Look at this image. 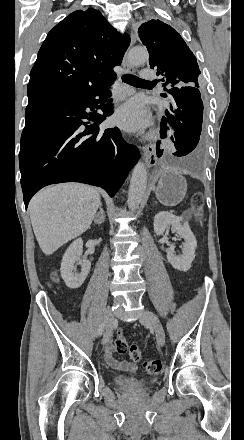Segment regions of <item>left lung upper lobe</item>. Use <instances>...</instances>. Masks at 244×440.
<instances>
[{
    "mask_svg": "<svg viewBox=\"0 0 244 440\" xmlns=\"http://www.w3.org/2000/svg\"><path fill=\"white\" fill-rule=\"evenodd\" d=\"M139 37L149 52V64L156 67L164 85L188 84L199 87L200 70L196 57L180 34L160 20H150L139 28Z\"/></svg>",
    "mask_w": 244,
    "mask_h": 440,
    "instance_id": "obj_1",
    "label": "left lung upper lobe"
}]
</instances>
